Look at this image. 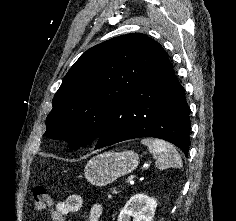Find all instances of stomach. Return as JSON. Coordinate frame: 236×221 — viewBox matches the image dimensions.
Masks as SVG:
<instances>
[{
	"label": "stomach",
	"instance_id": "0dacf381",
	"mask_svg": "<svg viewBox=\"0 0 236 221\" xmlns=\"http://www.w3.org/2000/svg\"><path fill=\"white\" fill-rule=\"evenodd\" d=\"M139 164L134 151L104 152L91 158L84 170L87 181L94 186H106L132 172Z\"/></svg>",
	"mask_w": 236,
	"mask_h": 221
}]
</instances>
